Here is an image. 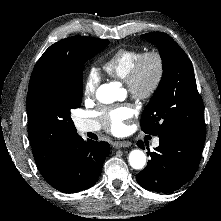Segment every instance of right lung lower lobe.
Wrapping results in <instances>:
<instances>
[{"label": "right lung lower lobe", "instance_id": "obj_1", "mask_svg": "<svg viewBox=\"0 0 221 221\" xmlns=\"http://www.w3.org/2000/svg\"><path fill=\"white\" fill-rule=\"evenodd\" d=\"M104 141H84L81 137L69 143L59 154L46 181L64 193H76L93 186L109 154Z\"/></svg>", "mask_w": 221, "mask_h": 221}]
</instances>
